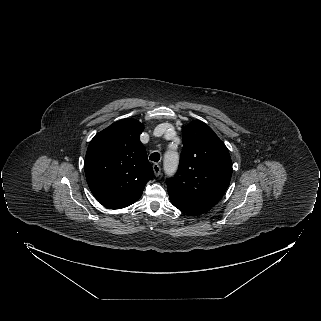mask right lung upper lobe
<instances>
[{
  "label": "right lung upper lobe",
  "mask_w": 321,
  "mask_h": 321,
  "mask_svg": "<svg viewBox=\"0 0 321 321\" xmlns=\"http://www.w3.org/2000/svg\"><path fill=\"white\" fill-rule=\"evenodd\" d=\"M144 125L123 119L97 133L85 157L89 188L105 207L121 209L136 202L154 177L145 147L140 142Z\"/></svg>",
  "instance_id": "right-lung-upper-lobe-1"
}]
</instances>
